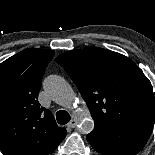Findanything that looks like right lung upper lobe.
Returning a JSON list of instances; mask_svg holds the SVG:
<instances>
[{"instance_id": "cb5924a9", "label": "right lung upper lobe", "mask_w": 155, "mask_h": 155, "mask_svg": "<svg viewBox=\"0 0 155 155\" xmlns=\"http://www.w3.org/2000/svg\"><path fill=\"white\" fill-rule=\"evenodd\" d=\"M54 53L28 48L0 64V149L6 155H49L66 136L37 100Z\"/></svg>"}]
</instances>
